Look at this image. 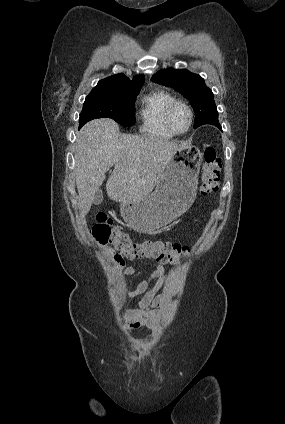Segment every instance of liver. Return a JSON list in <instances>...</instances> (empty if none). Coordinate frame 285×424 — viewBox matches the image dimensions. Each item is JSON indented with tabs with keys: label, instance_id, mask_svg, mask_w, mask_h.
<instances>
[{
	"label": "liver",
	"instance_id": "liver-1",
	"mask_svg": "<svg viewBox=\"0 0 285 424\" xmlns=\"http://www.w3.org/2000/svg\"><path fill=\"white\" fill-rule=\"evenodd\" d=\"M186 146L175 140L121 134L111 119L88 122L77 133L74 145L81 215L90 211L94 193L113 165L106 183L108 197L119 203L133 202L153 191L172 155Z\"/></svg>",
	"mask_w": 285,
	"mask_h": 424
}]
</instances>
